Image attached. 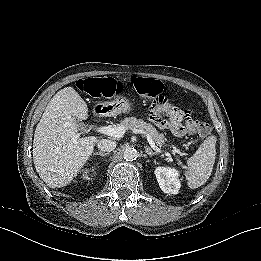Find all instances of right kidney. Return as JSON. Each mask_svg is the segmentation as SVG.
<instances>
[{
	"label": "right kidney",
	"mask_w": 261,
	"mask_h": 261,
	"mask_svg": "<svg viewBox=\"0 0 261 261\" xmlns=\"http://www.w3.org/2000/svg\"><path fill=\"white\" fill-rule=\"evenodd\" d=\"M83 179H86V180H88V179H90L87 175H83Z\"/></svg>",
	"instance_id": "ca27d5eb"
}]
</instances>
